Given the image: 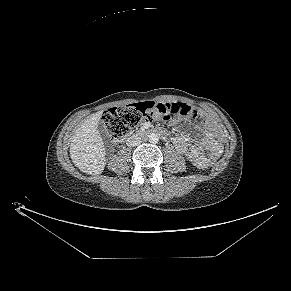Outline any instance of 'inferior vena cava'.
<instances>
[{"instance_id": "1", "label": "inferior vena cava", "mask_w": 291, "mask_h": 291, "mask_svg": "<svg viewBox=\"0 0 291 291\" xmlns=\"http://www.w3.org/2000/svg\"><path fill=\"white\" fill-rule=\"evenodd\" d=\"M142 143V140L140 137L138 136H130L127 140H126V144L128 147H135L138 146Z\"/></svg>"}]
</instances>
